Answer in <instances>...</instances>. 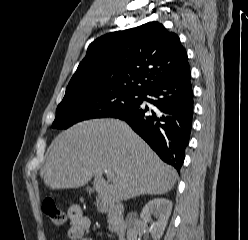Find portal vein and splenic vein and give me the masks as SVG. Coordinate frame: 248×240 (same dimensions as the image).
Masks as SVG:
<instances>
[{"label": "portal vein and splenic vein", "mask_w": 248, "mask_h": 240, "mask_svg": "<svg viewBox=\"0 0 248 240\" xmlns=\"http://www.w3.org/2000/svg\"><path fill=\"white\" fill-rule=\"evenodd\" d=\"M104 173H105L106 175H108V174H109V171H108V170H104Z\"/></svg>", "instance_id": "18ae733b"}]
</instances>
